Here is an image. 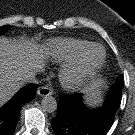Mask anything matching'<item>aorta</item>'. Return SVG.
<instances>
[{
	"mask_svg": "<svg viewBox=\"0 0 135 135\" xmlns=\"http://www.w3.org/2000/svg\"><path fill=\"white\" fill-rule=\"evenodd\" d=\"M43 111L53 113L57 109V101L54 97L46 95L41 101Z\"/></svg>",
	"mask_w": 135,
	"mask_h": 135,
	"instance_id": "762f6f07",
	"label": "aorta"
}]
</instances>
